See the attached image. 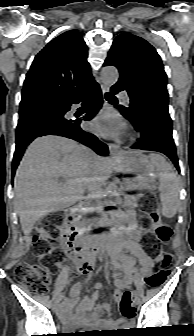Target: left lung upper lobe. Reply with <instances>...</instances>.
<instances>
[{
  "mask_svg": "<svg viewBox=\"0 0 194 336\" xmlns=\"http://www.w3.org/2000/svg\"><path fill=\"white\" fill-rule=\"evenodd\" d=\"M116 66L121 85L130 96V106H120L128 117L151 111H168L167 75L155 48L131 33L116 37L104 66Z\"/></svg>",
  "mask_w": 194,
  "mask_h": 336,
  "instance_id": "obj_1",
  "label": "left lung upper lobe"
}]
</instances>
